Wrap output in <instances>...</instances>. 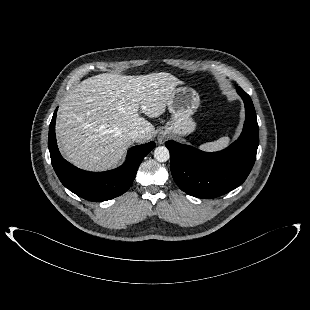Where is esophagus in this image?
Masks as SVG:
<instances>
[{"instance_id": "34e87169", "label": "esophagus", "mask_w": 310, "mask_h": 310, "mask_svg": "<svg viewBox=\"0 0 310 310\" xmlns=\"http://www.w3.org/2000/svg\"><path fill=\"white\" fill-rule=\"evenodd\" d=\"M166 137H167V135L166 134H160L159 136H158V142L159 143H162L165 139H166Z\"/></svg>"}]
</instances>
